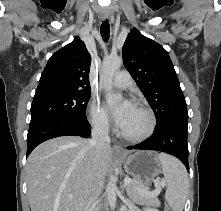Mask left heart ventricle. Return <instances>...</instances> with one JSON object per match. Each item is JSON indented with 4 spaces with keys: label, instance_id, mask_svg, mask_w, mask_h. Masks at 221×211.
Returning <instances> with one entry per match:
<instances>
[{
    "label": "left heart ventricle",
    "instance_id": "left-heart-ventricle-1",
    "mask_svg": "<svg viewBox=\"0 0 221 211\" xmlns=\"http://www.w3.org/2000/svg\"><path fill=\"white\" fill-rule=\"evenodd\" d=\"M148 127V117L139 107L133 105L120 130L131 136L143 134Z\"/></svg>",
    "mask_w": 221,
    "mask_h": 211
}]
</instances>
